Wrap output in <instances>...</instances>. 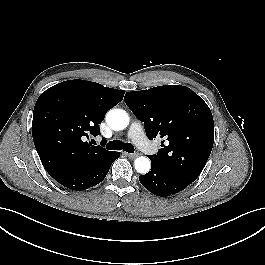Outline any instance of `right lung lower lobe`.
<instances>
[{
  "label": "right lung lower lobe",
  "mask_w": 265,
  "mask_h": 265,
  "mask_svg": "<svg viewBox=\"0 0 265 265\" xmlns=\"http://www.w3.org/2000/svg\"><path fill=\"white\" fill-rule=\"evenodd\" d=\"M119 156V152H113L99 163L67 170L52 177L69 189L85 190L100 183L106 177L112 162Z\"/></svg>",
  "instance_id": "1"
}]
</instances>
